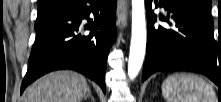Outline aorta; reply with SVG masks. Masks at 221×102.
I'll use <instances>...</instances> for the list:
<instances>
[{
    "mask_svg": "<svg viewBox=\"0 0 221 102\" xmlns=\"http://www.w3.org/2000/svg\"><path fill=\"white\" fill-rule=\"evenodd\" d=\"M146 51L144 0H132V37L128 60V76L135 78L143 64Z\"/></svg>",
    "mask_w": 221,
    "mask_h": 102,
    "instance_id": "aorta-1",
    "label": "aorta"
}]
</instances>
